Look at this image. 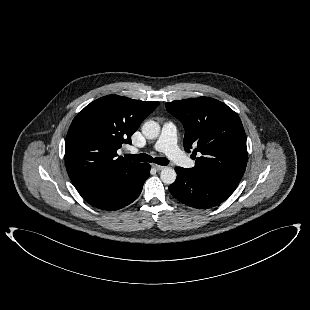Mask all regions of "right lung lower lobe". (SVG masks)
Masks as SVG:
<instances>
[{"label": "right lung lower lobe", "mask_w": 310, "mask_h": 310, "mask_svg": "<svg viewBox=\"0 0 310 310\" xmlns=\"http://www.w3.org/2000/svg\"><path fill=\"white\" fill-rule=\"evenodd\" d=\"M150 168L149 164L141 163L125 175L111 178L78 192L96 208L118 210L137 199L145 180L150 175Z\"/></svg>", "instance_id": "1"}]
</instances>
